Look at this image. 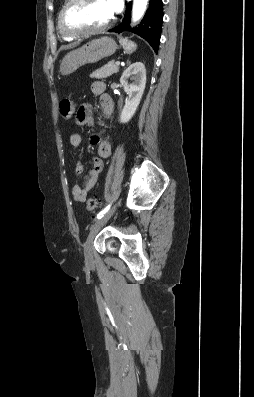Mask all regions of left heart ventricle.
<instances>
[{
  "mask_svg": "<svg viewBox=\"0 0 254 397\" xmlns=\"http://www.w3.org/2000/svg\"><path fill=\"white\" fill-rule=\"evenodd\" d=\"M112 18L105 0H88L75 4L66 14L65 23L72 29L96 28Z\"/></svg>",
  "mask_w": 254,
  "mask_h": 397,
  "instance_id": "obj_1",
  "label": "left heart ventricle"
}]
</instances>
